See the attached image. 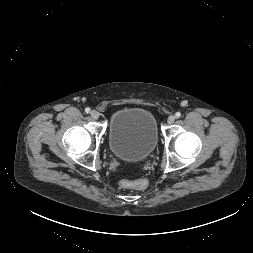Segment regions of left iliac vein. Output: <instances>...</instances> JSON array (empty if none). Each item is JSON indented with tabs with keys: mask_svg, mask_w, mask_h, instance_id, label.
<instances>
[{
	"mask_svg": "<svg viewBox=\"0 0 253 253\" xmlns=\"http://www.w3.org/2000/svg\"><path fill=\"white\" fill-rule=\"evenodd\" d=\"M174 121H175V116H173V115L169 116L167 119L168 124H173Z\"/></svg>",
	"mask_w": 253,
	"mask_h": 253,
	"instance_id": "obj_1",
	"label": "left iliac vein"
}]
</instances>
